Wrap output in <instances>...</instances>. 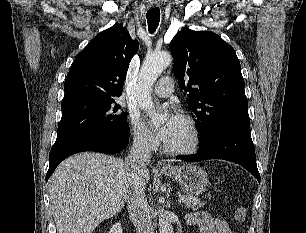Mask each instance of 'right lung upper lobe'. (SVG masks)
<instances>
[{
  "label": "right lung upper lobe",
  "instance_id": "1",
  "mask_svg": "<svg viewBox=\"0 0 306 233\" xmlns=\"http://www.w3.org/2000/svg\"><path fill=\"white\" fill-rule=\"evenodd\" d=\"M138 48V41L121 25L99 33L75 58L65 79L63 102L121 96L129 63Z\"/></svg>",
  "mask_w": 306,
  "mask_h": 233
}]
</instances>
